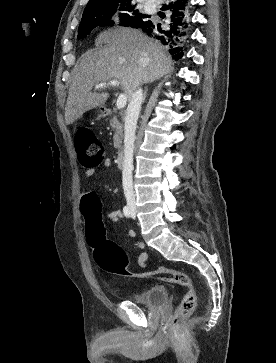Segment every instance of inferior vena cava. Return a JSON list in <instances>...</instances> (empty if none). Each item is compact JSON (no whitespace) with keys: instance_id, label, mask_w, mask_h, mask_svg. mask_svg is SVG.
Masks as SVG:
<instances>
[{"instance_id":"inferior-vena-cava-1","label":"inferior vena cava","mask_w":276,"mask_h":363,"mask_svg":"<svg viewBox=\"0 0 276 363\" xmlns=\"http://www.w3.org/2000/svg\"><path fill=\"white\" fill-rule=\"evenodd\" d=\"M143 91L137 89L132 95L125 115L124 162L122 170V184L128 206H135L133 190V151L137 120L140 114Z\"/></svg>"}]
</instances>
